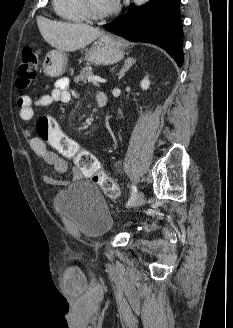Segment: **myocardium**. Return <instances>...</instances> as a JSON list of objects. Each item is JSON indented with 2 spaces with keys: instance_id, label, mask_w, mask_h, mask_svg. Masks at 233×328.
Listing matches in <instances>:
<instances>
[{
  "instance_id": "f54148a6",
  "label": "myocardium",
  "mask_w": 233,
  "mask_h": 328,
  "mask_svg": "<svg viewBox=\"0 0 233 328\" xmlns=\"http://www.w3.org/2000/svg\"><path fill=\"white\" fill-rule=\"evenodd\" d=\"M82 7L86 13L87 18L93 20H101L113 16L119 11V5L115 4L111 9L107 11H97L90 3V0H82Z\"/></svg>"
}]
</instances>
